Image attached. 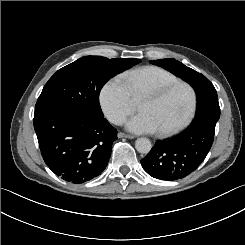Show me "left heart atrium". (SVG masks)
<instances>
[{
  "label": "left heart atrium",
  "instance_id": "1",
  "mask_svg": "<svg viewBox=\"0 0 245 245\" xmlns=\"http://www.w3.org/2000/svg\"><path fill=\"white\" fill-rule=\"evenodd\" d=\"M130 131L136 133H154L159 131L157 125L146 112H138L126 123Z\"/></svg>",
  "mask_w": 245,
  "mask_h": 245
}]
</instances>
